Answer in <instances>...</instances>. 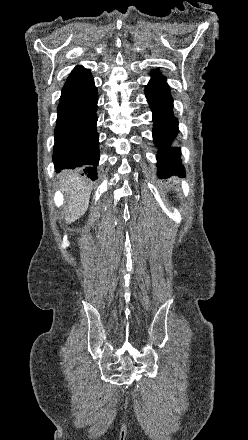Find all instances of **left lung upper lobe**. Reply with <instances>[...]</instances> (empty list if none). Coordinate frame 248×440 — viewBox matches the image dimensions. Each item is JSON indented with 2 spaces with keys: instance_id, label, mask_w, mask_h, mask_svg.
Listing matches in <instances>:
<instances>
[{
  "instance_id": "left-lung-upper-lobe-1",
  "label": "left lung upper lobe",
  "mask_w": 248,
  "mask_h": 440,
  "mask_svg": "<svg viewBox=\"0 0 248 440\" xmlns=\"http://www.w3.org/2000/svg\"><path fill=\"white\" fill-rule=\"evenodd\" d=\"M151 75L154 80H160V81L165 80V78L159 73V70H153Z\"/></svg>"
}]
</instances>
